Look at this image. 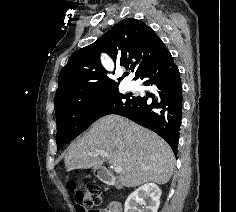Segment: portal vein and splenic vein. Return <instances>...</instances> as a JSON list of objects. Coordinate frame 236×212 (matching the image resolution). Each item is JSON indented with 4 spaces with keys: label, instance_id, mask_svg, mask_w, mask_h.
Instances as JSON below:
<instances>
[{
    "label": "portal vein and splenic vein",
    "instance_id": "18ae733b",
    "mask_svg": "<svg viewBox=\"0 0 236 212\" xmlns=\"http://www.w3.org/2000/svg\"><path fill=\"white\" fill-rule=\"evenodd\" d=\"M95 154L96 155H101V156H105V157H107V153L106 152H104V151H96L95 152ZM122 167L121 166H114V171L116 172V173H121L122 172Z\"/></svg>",
    "mask_w": 236,
    "mask_h": 212
}]
</instances>
